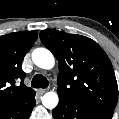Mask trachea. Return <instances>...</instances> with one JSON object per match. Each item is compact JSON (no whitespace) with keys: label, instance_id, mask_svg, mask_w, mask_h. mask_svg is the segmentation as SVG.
Masks as SVG:
<instances>
[{"label":"trachea","instance_id":"1","mask_svg":"<svg viewBox=\"0 0 119 119\" xmlns=\"http://www.w3.org/2000/svg\"><path fill=\"white\" fill-rule=\"evenodd\" d=\"M31 85L34 88H47L49 85V82L46 79V77H44L43 75L36 74L32 79Z\"/></svg>","mask_w":119,"mask_h":119}]
</instances>
